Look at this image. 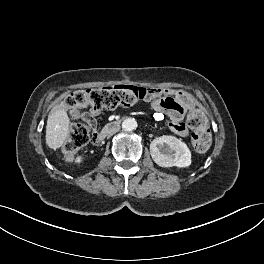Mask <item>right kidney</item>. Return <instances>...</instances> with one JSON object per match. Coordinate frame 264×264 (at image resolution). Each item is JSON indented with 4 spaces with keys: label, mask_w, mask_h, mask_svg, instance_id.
<instances>
[{
    "label": "right kidney",
    "mask_w": 264,
    "mask_h": 264,
    "mask_svg": "<svg viewBox=\"0 0 264 264\" xmlns=\"http://www.w3.org/2000/svg\"><path fill=\"white\" fill-rule=\"evenodd\" d=\"M83 160H84V158H83L82 156H78V157L75 159V163L80 164V163L83 162Z\"/></svg>",
    "instance_id": "ca27d5eb"
}]
</instances>
